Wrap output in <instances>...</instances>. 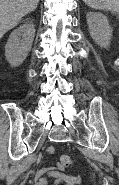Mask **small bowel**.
Here are the masks:
<instances>
[{"instance_id": "small-bowel-1", "label": "small bowel", "mask_w": 119, "mask_h": 185, "mask_svg": "<svg viewBox=\"0 0 119 185\" xmlns=\"http://www.w3.org/2000/svg\"><path fill=\"white\" fill-rule=\"evenodd\" d=\"M48 152L54 154V148L50 146ZM62 171L63 167L59 163L54 167L37 169L34 175L35 185H47L48 178L54 179V185H62V183L73 177L72 175L64 174Z\"/></svg>"}]
</instances>
